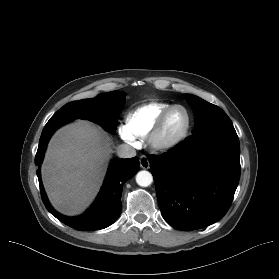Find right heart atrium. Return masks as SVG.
I'll use <instances>...</instances> for the list:
<instances>
[{"label": "right heart atrium", "instance_id": "right-heart-atrium-1", "mask_svg": "<svg viewBox=\"0 0 279 279\" xmlns=\"http://www.w3.org/2000/svg\"><path fill=\"white\" fill-rule=\"evenodd\" d=\"M119 134L124 141H126L128 143L134 142V137L128 132V130L125 128V126L119 127Z\"/></svg>", "mask_w": 279, "mask_h": 279}]
</instances>
